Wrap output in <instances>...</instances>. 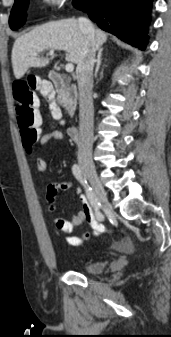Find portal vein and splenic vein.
Masks as SVG:
<instances>
[{"label":"portal vein and splenic vein","instance_id":"portal-vein-and-splenic-vein-1","mask_svg":"<svg viewBox=\"0 0 171 337\" xmlns=\"http://www.w3.org/2000/svg\"><path fill=\"white\" fill-rule=\"evenodd\" d=\"M34 55H37V53H34ZM48 55L51 56V57H54V55H55V54H54V51H53V50L49 51ZM65 69H66L67 72H73V70H74V65H73L72 63H68V64L65 66Z\"/></svg>","mask_w":171,"mask_h":337}]
</instances>
